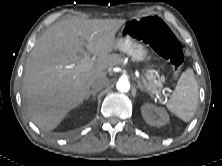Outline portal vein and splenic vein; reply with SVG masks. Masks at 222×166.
Segmentation results:
<instances>
[{
    "instance_id": "1",
    "label": "portal vein and splenic vein",
    "mask_w": 222,
    "mask_h": 166,
    "mask_svg": "<svg viewBox=\"0 0 222 166\" xmlns=\"http://www.w3.org/2000/svg\"><path fill=\"white\" fill-rule=\"evenodd\" d=\"M93 67V63L90 62V58L89 55L87 53H85V56L81 59V61L79 62L78 65H70L68 66V68L70 69H75L76 72H83V71H87L90 70ZM142 82L148 86L147 81L142 78ZM159 97V95H157Z\"/></svg>"
}]
</instances>
